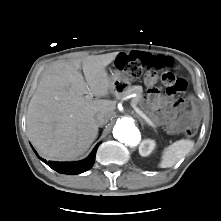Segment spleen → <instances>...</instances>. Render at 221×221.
Masks as SVG:
<instances>
[{
  "label": "spleen",
  "instance_id": "spleen-1",
  "mask_svg": "<svg viewBox=\"0 0 221 221\" xmlns=\"http://www.w3.org/2000/svg\"><path fill=\"white\" fill-rule=\"evenodd\" d=\"M194 147V141L181 139L164 148L161 156L160 168H169L174 166L184 158Z\"/></svg>",
  "mask_w": 221,
  "mask_h": 221
}]
</instances>
